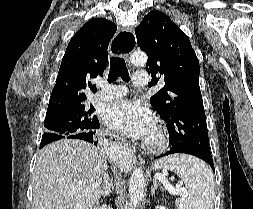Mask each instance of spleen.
Masks as SVG:
<instances>
[{
    "label": "spleen",
    "mask_w": 253,
    "mask_h": 209,
    "mask_svg": "<svg viewBox=\"0 0 253 209\" xmlns=\"http://www.w3.org/2000/svg\"><path fill=\"white\" fill-rule=\"evenodd\" d=\"M154 168L171 170L184 181L187 191L176 200L177 209H213L214 177L205 162L190 155L176 154L158 160Z\"/></svg>",
    "instance_id": "3e777b00"
}]
</instances>
